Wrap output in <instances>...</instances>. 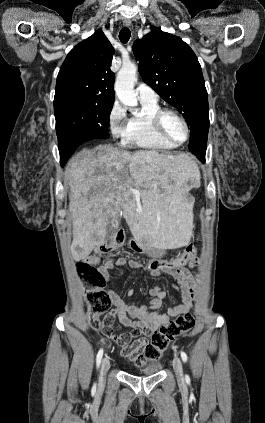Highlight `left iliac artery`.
<instances>
[{
	"mask_svg": "<svg viewBox=\"0 0 265 423\" xmlns=\"http://www.w3.org/2000/svg\"><path fill=\"white\" fill-rule=\"evenodd\" d=\"M181 358L183 360V362H187V355L184 351L180 352ZM186 378H188V376L186 375Z\"/></svg>",
	"mask_w": 265,
	"mask_h": 423,
	"instance_id": "1",
	"label": "left iliac artery"
}]
</instances>
